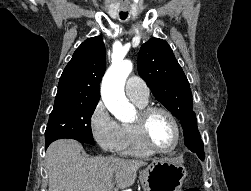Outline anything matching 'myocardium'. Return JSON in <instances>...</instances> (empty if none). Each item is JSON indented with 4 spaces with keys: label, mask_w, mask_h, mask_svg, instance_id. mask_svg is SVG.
I'll return each instance as SVG.
<instances>
[{
    "label": "myocardium",
    "mask_w": 251,
    "mask_h": 191,
    "mask_svg": "<svg viewBox=\"0 0 251 191\" xmlns=\"http://www.w3.org/2000/svg\"><path fill=\"white\" fill-rule=\"evenodd\" d=\"M156 112H161L167 115L172 120L175 126V129L178 135V142H177L176 147L172 151L165 152V151L158 150L149 139V135H148L149 121ZM139 114H140V117L138 120H136L133 123V126L136 128L140 141L147 149H149L152 153L161 155V156L174 155L181 149L183 145L184 136H183V131L180 126V123L177 117L174 115V113H172L170 110H168L165 107L145 105V106L140 107Z\"/></svg>",
    "instance_id": "myocardium-1"
}]
</instances>
